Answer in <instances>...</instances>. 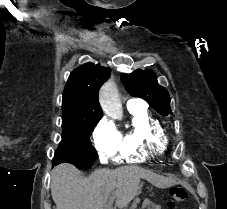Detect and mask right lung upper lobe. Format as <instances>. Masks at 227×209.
<instances>
[{"mask_svg":"<svg viewBox=\"0 0 227 209\" xmlns=\"http://www.w3.org/2000/svg\"><path fill=\"white\" fill-rule=\"evenodd\" d=\"M110 68L91 63L76 68L70 74L62 99V118L101 116L98 101L101 85L109 78Z\"/></svg>","mask_w":227,"mask_h":209,"instance_id":"right-lung-upper-lobe-1","label":"right lung upper lobe"}]
</instances>
